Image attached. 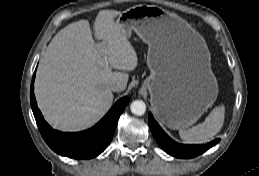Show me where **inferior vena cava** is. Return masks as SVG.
Listing matches in <instances>:
<instances>
[{"mask_svg":"<svg viewBox=\"0 0 259 176\" xmlns=\"http://www.w3.org/2000/svg\"><path fill=\"white\" fill-rule=\"evenodd\" d=\"M110 89L114 92H119V91H122L124 89V86L122 83L120 82H113L111 83L110 85Z\"/></svg>","mask_w":259,"mask_h":176,"instance_id":"inferior-vena-cava-1","label":"inferior vena cava"}]
</instances>
